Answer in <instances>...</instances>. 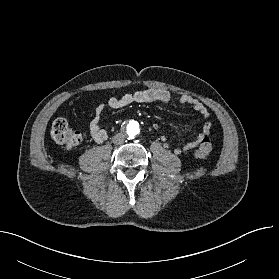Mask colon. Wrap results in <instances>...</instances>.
I'll list each match as a JSON object with an SVG mask.
<instances>
[{"instance_id":"colon-1","label":"colon","mask_w":279,"mask_h":279,"mask_svg":"<svg viewBox=\"0 0 279 279\" xmlns=\"http://www.w3.org/2000/svg\"><path fill=\"white\" fill-rule=\"evenodd\" d=\"M51 138L54 142L67 149L77 147L84 139V134L70 127L65 118L56 119L51 127ZM212 151V143L208 137H203L194 155L196 158H205Z\"/></svg>"}]
</instances>
